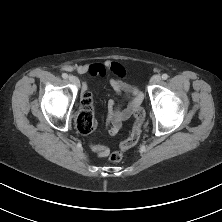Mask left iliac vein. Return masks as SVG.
<instances>
[{
	"label": "left iliac vein",
	"mask_w": 222,
	"mask_h": 222,
	"mask_svg": "<svg viewBox=\"0 0 222 222\" xmlns=\"http://www.w3.org/2000/svg\"><path fill=\"white\" fill-rule=\"evenodd\" d=\"M160 81H161V77L159 75H155L151 78L150 84L151 85L158 84Z\"/></svg>",
	"instance_id": "obj_1"
}]
</instances>
